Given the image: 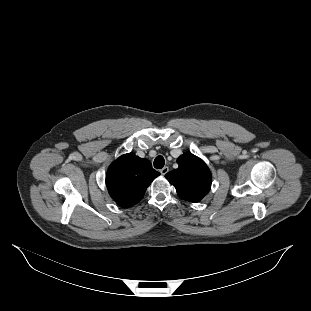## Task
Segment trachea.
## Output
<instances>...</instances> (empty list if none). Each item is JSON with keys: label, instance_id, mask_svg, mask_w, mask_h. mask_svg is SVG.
Segmentation results:
<instances>
[{"label": "trachea", "instance_id": "trachea-1", "mask_svg": "<svg viewBox=\"0 0 311 311\" xmlns=\"http://www.w3.org/2000/svg\"><path fill=\"white\" fill-rule=\"evenodd\" d=\"M164 165H165L164 158L161 155L157 156L154 160V167L157 169H161L164 167Z\"/></svg>", "mask_w": 311, "mask_h": 311}]
</instances>
